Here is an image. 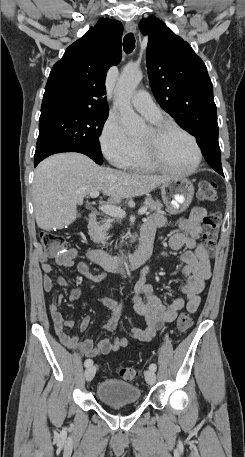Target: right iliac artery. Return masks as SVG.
I'll use <instances>...</instances> for the list:
<instances>
[{"mask_svg":"<svg viewBox=\"0 0 245 457\" xmlns=\"http://www.w3.org/2000/svg\"><path fill=\"white\" fill-rule=\"evenodd\" d=\"M92 364H93V361H92V359H90V358L86 359L85 362H84L85 367H89V366H91Z\"/></svg>","mask_w":245,"mask_h":457,"instance_id":"82829eb1","label":"right iliac artery"}]
</instances>
